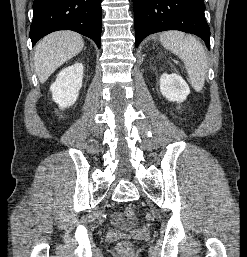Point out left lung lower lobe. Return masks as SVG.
<instances>
[{
    "instance_id": "left-lung-lower-lobe-1",
    "label": "left lung lower lobe",
    "mask_w": 247,
    "mask_h": 257,
    "mask_svg": "<svg viewBox=\"0 0 247 257\" xmlns=\"http://www.w3.org/2000/svg\"><path fill=\"white\" fill-rule=\"evenodd\" d=\"M136 47L150 34L165 30L192 33L210 49V29L203 0H133Z\"/></svg>"
}]
</instances>
